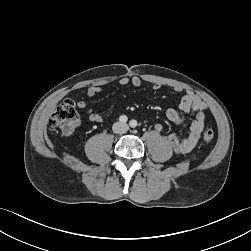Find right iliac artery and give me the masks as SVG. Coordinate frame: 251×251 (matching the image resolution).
<instances>
[{
	"mask_svg": "<svg viewBox=\"0 0 251 251\" xmlns=\"http://www.w3.org/2000/svg\"><path fill=\"white\" fill-rule=\"evenodd\" d=\"M127 120H128V118H127V116H125V115H121V116L119 117V121L122 122V123H126Z\"/></svg>",
	"mask_w": 251,
	"mask_h": 251,
	"instance_id": "82829eb1",
	"label": "right iliac artery"
}]
</instances>
